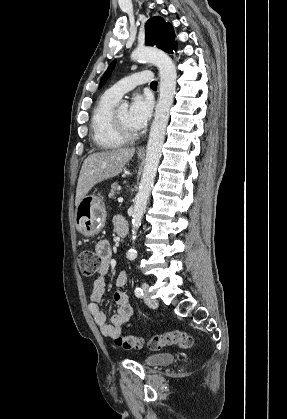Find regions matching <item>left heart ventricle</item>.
I'll list each match as a JSON object with an SVG mask.
<instances>
[{
    "label": "left heart ventricle",
    "instance_id": "1",
    "mask_svg": "<svg viewBox=\"0 0 287 419\" xmlns=\"http://www.w3.org/2000/svg\"><path fill=\"white\" fill-rule=\"evenodd\" d=\"M116 114H117V117H118L120 123L122 124V126L126 130L134 133L135 130L132 129V127L129 124L128 110L127 109H118V110H116Z\"/></svg>",
    "mask_w": 287,
    "mask_h": 419
}]
</instances>
